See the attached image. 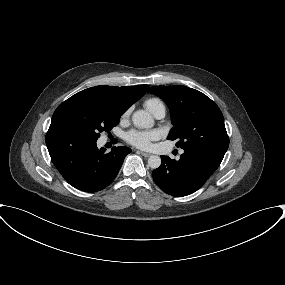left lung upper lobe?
<instances>
[{"label": "left lung upper lobe", "mask_w": 285, "mask_h": 285, "mask_svg": "<svg viewBox=\"0 0 285 285\" xmlns=\"http://www.w3.org/2000/svg\"><path fill=\"white\" fill-rule=\"evenodd\" d=\"M149 92L169 107L174 127L167 139L177 140V147L227 151L229 138L224 118L210 98L186 86H154Z\"/></svg>", "instance_id": "left-lung-upper-lobe-1"}]
</instances>
